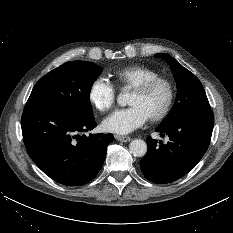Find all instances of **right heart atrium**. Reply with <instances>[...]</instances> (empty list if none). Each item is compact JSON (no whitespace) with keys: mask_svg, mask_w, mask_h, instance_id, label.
I'll return each instance as SVG.
<instances>
[{"mask_svg":"<svg viewBox=\"0 0 233 233\" xmlns=\"http://www.w3.org/2000/svg\"><path fill=\"white\" fill-rule=\"evenodd\" d=\"M116 88L105 78H96L90 85L88 98L91 105L100 112L111 110L116 101Z\"/></svg>","mask_w":233,"mask_h":233,"instance_id":"obj_1","label":"right heart atrium"}]
</instances>
